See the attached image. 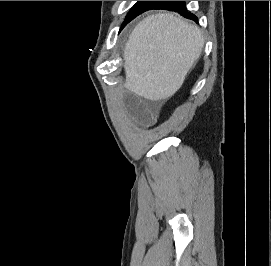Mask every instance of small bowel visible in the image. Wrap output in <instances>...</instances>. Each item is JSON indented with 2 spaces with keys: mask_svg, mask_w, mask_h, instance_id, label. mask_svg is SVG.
Listing matches in <instances>:
<instances>
[{
  "mask_svg": "<svg viewBox=\"0 0 271 266\" xmlns=\"http://www.w3.org/2000/svg\"><path fill=\"white\" fill-rule=\"evenodd\" d=\"M127 105L135 116L145 123L152 122L158 110V104L153 101L139 102L131 99L127 101Z\"/></svg>",
  "mask_w": 271,
  "mask_h": 266,
  "instance_id": "c3829d8e",
  "label": "small bowel"
}]
</instances>
